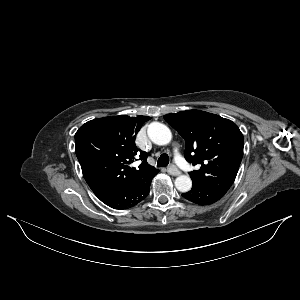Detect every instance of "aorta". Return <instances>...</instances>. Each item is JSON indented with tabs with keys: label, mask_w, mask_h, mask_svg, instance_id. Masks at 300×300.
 Listing matches in <instances>:
<instances>
[{
	"label": "aorta",
	"mask_w": 300,
	"mask_h": 300,
	"mask_svg": "<svg viewBox=\"0 0 300 300\" xmlns=\"http://www.w3.org/2000/svg\"><path fill=\"white\" fill-rule=\"evenodd\" d=\"M148 135L151 141L157 145H166L172 139L170 129L158 122L149 125ZM175 187L180 192H188L192 187V180L188 175H180L175 179Z\"/></svg>",
	"instance_id": "aorta-1"
}]
</instances>
